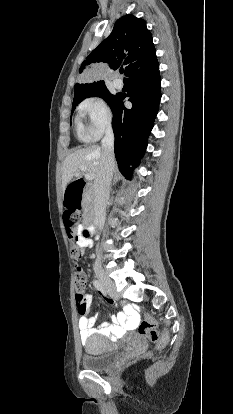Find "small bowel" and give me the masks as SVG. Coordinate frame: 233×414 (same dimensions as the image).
I'll list each match as a JSON object with an SVG mask.
<instances>
[{"label":"small bowel","instance_id":"1","mask_svg":"<svg viewBox=\"0 0 233 414\" xmlns=\"http://www.w3.org/2000/svg\"><path fill=\"white\" fill-rule=\"evenodd\" d=\"M77 243L82 248H90L93 244L92 240L81 236L82 232H77ZM75 274H80V266L75 264ZM83 304H80L77 307V310L80 313L79 319V329H80V338L83 344H86L90 337L95 332V325L97 322V317H89L87 313L90 311V306L93 303V297L90 294L85 295ZM112 308L118 307V302L112 299H108ZM121 307L124 308L117 316L113 317V324L110 325L107 322L103 323L100 327V333L103 335H110L112 337H118L123 335L126 331L134 330L137 328L140 317L136 312V307H134L133 301H122Z\"/></svg>","mask_w":233,"mask_h":414}]
</instances>
